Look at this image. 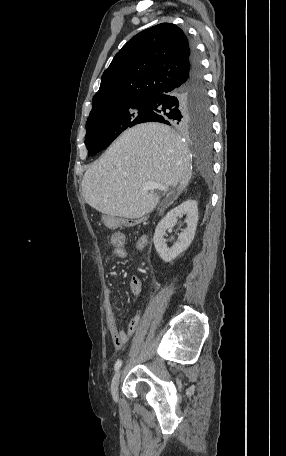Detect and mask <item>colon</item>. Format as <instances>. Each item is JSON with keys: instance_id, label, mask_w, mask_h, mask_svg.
I'll use <instances>...</instances> for the list:
<instances>
[{"instance_id": "colon-1", "label": "colon", "mask_w": 286, "mask_h": 456, "mask_svg": "<svg viewBox=\"0 0 286 456\" xmlns=\"http://www.w3.org/2000/svg\"><path fill=\"white\" fill-rule=\"evenodd\" d=\"M114 241L116 240V238H112Z\"/></svg>"}]
</instances>
